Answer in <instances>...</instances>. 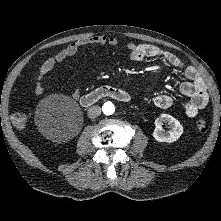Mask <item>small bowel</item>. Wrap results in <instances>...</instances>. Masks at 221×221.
I'll list each match as a JSON object with an SVG mask.
<instances>
[{
  "instance_id": "c3829d8e",
  "label": "small bowel",
  "mask_w": 221,
  "mask_h": 221,
  "mask_svg": "<svg viewBox=\"0 0 221 221\" xmlns=\"http://www.w3.org/2000/svg\"><path fill=\"white\" fill-rule=\"evenodd\" d=\"M118 39L114 36L106 37L103 35H94L72 42L54 56L46 59L39 70L34 86V93L38 96L44 93V79L55 66L65 59L74 56L85 46L88 45H109L115 47L118 45ZM129 57L134 62L142 61L146 58H161L164 59L172 67L183 70L187 81H184L180 86L181 93L188 97L189 100L184 104V111L187 116L195 117L199 110L206 107L209 101L206 85L202 80L198 71L192 66H185L184 63L173 53L163 50L162 48L152 44H135L127 45ZM79 90L74 92V96L78 97ZM153 103L158 108L166 109L172 106L173 98L166 94H160L154 97Z\"/></svg>"
}]
</instances>
